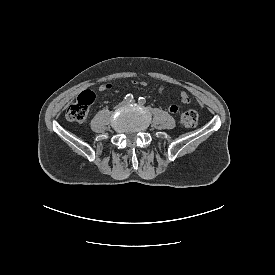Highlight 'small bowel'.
Here are the masks:
<instances>
[{"instance_id": "1", "label": "small bowel", "mask_w": 275, "mask_h": 275, "mask_svg": "<svg viewBox=\"0 0 275 275\" xmlns=\"http://www.w3.org/2000/svg\"><path fill=\"white\" fill-rule=\"evenodd\" d=\"M142 86H145L146 85V83L145 82H141L140 83ZM110 89H112V84L111 83H103V84H101L100 86H99V88H98V91L99 92H104V91H107V90H110ZM181 102L182 103H184V104H188V103H190V101H191V98H190V96H189V94L187 93V92H185V91H183L182 93H181ZM178 109H179V107L176 105V104H172V105H170V107H169V111L171 112V113H176L177 111H178Z\"/></svg>"}]
</instances>
